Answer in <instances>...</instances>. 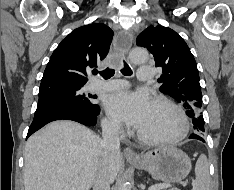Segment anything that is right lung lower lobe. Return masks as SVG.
<instances>
[{
	"instance_id": "98d812e1",
	"label": "right lung lower lobe",
	"mask_w": 234,
	"mask_h": 190,
	"mask_svg": "<svg viewBox=\"0 0 234 190\" xmlns=\"http://www.w3.org/2000/svg\"><path fill=\"white\" fill-rule=\"evenodd\" d=\"M99 107L91 110L70 104L53 103L36 110L27 138L49 122L55 120H73L86 126H94L97 122Z\"/></svg>"
}]
</instances>
